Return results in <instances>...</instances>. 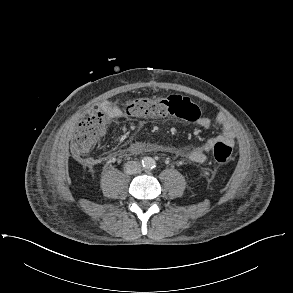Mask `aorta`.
Listing matches in <instances>:
<instances>
[{"mask_svg": "<svg viewBox=\"0 0 293 293\" xmlns=\"http://www.w3.org/2000/svg\"><path fill=\"white\" fill-rule=\"evenodd\" d=\"M142 165L145 169H152L156 166V161L152 157H145L142 160Z\"/></svg>", "mask_w": 293, "mask_h": 293, "instance_id": "obj_1", "label": "aorta"}]
</instances>
